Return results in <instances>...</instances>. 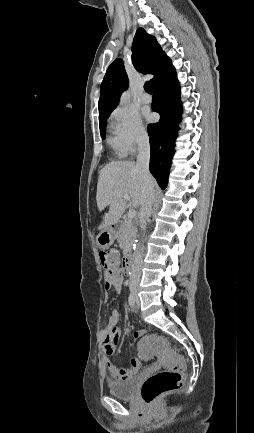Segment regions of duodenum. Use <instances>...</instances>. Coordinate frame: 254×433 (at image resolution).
Wrapping results in <instances>:
<instances>
[{"mask_svg":"<svg viewBox=\"0 0 254 433\" xmlns=\"http://www.w3.org/2000/svg\"><path fill=\"white\" fill-rule=\"evenodd\" d=\"M110 231L115 234L117 232V224H111L110 225ZM132 265V256L129 251H126L124 254V261H123V269L125 272H130Z\"/></svg>","mask_w":254,"mask_h":433,"instance_id":"duodenum-1","label":"duodenum"}]
</instances>
